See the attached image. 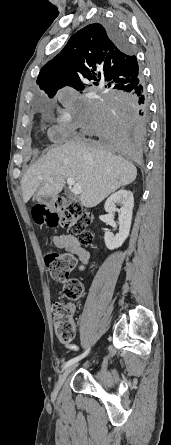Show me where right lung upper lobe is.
<instances>
[{
	"instance_id": "cb5924a9",
	"label": "right lung upper lobe",
	"mask_w": 171,
	"mask_h": 445,
	"mask_svg": "<svg viewBox=\"0 0 171 445\" xmlns=\"http://www.w3.org/2000/svg\"><path fill=\"white\" fill-rule=\"evenodd\" d=\"M81 79L93 80L95 85L104 80L110 92H126L142 82V75L129 47L117 46L104 25L95 23L76 32L43 66L37 84L51 98L64 86L83 90Z\"/></svg>"
}]
</instances>
